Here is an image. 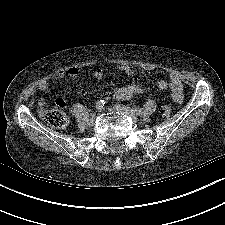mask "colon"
Here are the masks:
<instances>
[{
    "instance_id": "obj_1",
    "label": "colon",
    "mask_w": 225,
    "mask_h": 225,
    "mask_svg": "<svg viewBox=\"0 0 225 225\" xmlns=\"http://www.w3.org/2000/svg\"><path fill=\"white\" fill-rule=\"evenodd\" d=\"M65 105L64 101L57 102L56 107L43 109L41 111V116L43 120L50 126L58 129L65 128L67 125V116L62 110V107ZM171 106L166 104L162 107V114L165 117H168L171 114Z\"/></svg>"
}]
</instances>
